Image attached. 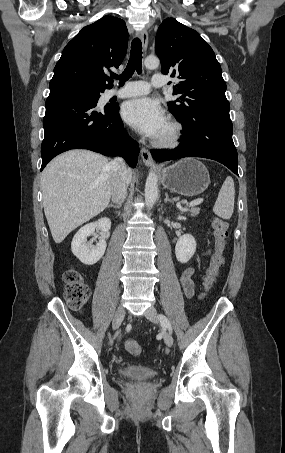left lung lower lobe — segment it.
Masks as SVG:
<instances>
[{"label":"left lung lower lobe","mask_w":285,"mask_h":453,"mask_svg":"<svg viewBox=\"0 0 285 453\" xmlns=\"http://www.w3.org/2000/svg\"><path fill=\"white\" fill-rule=\"evenodd\" d=\"M179 121L183 126L181 143L171 150H152L151 154L156 161L203 157L224 164L238 175V157L232 140L230 116L197 113L189 119Z\"/></svg>","instance_id":"0a47b994"}]
</instances>
